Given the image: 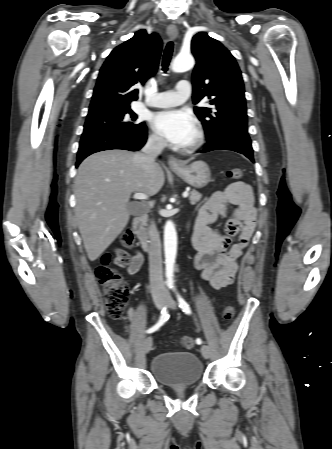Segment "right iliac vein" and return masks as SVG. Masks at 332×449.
<instances>
[{
    "label": "right iliac vein",
    "instance_id": "obj_1",
    "mask_svg": "<svg viewBox=\"0 0 332 449\" xmlns=\"http://www.w3.org/2000/svg\"><path fill=\"white\" fill-rule=\"evenodd\" d=\"M154 302H155V305H156V307L158 309L161 310L163 308V306H164V299H163L162 296H157L155 298ZM152 343H153L152 337L149 336V337H147L145 339V341H144V350H145L146 353H148L151 350Z\"/></svg>",
    "mask_w": 332,
    "mask_h": 449
}]
</instances>
